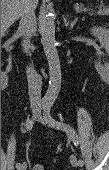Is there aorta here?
<instances>
[{"label":"aorta","mask_w":109,"mask_h":170,"mask_svg":"<svg viewBox=\"0 0 109 170\" xmlns=\"http://www.w3.org/2000/svg\"><path fill=\"white\" fill-rule=\"evenodd\" d=\"M41 42L49 65V87L44 101L53 104L61 88V66L56 48L54 17L47 12L40 22Z\"/></svg>","instance_id":"762f6f07"}]
</instances>
